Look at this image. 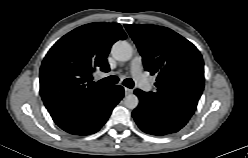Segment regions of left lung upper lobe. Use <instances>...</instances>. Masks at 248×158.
Wrapping results in <instances>:
<instances>
[{"mask_svg": "<svg viewBox=\"0 0 248 158\" xmlns=\"http://www.w3.org/2000/svg\"><path fill=\"white\" fill-rule=\"evenodd\" d=\"M125 28L146 71L158 75L157 90L148 92V97L160 107L190 118L204 89V63L198 49L166 27L125 24Z\"/></svg>", "mask_w": 248, "mask_h": 158, "instance_id": "5c2ea615", "label": "left lung upper lobe"}]
</instances>
